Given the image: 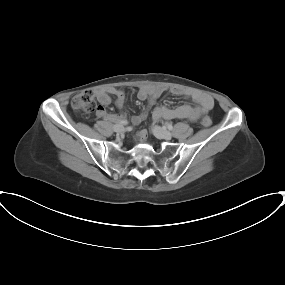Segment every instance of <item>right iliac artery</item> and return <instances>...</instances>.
Returning <instances> with one entry per match:
<instances>
[{"instance_id":"1","label":"right iliac artery","mask_w":285,"mask_h":285,"mask_svg":"<svg viewBox=\"0 0 285 285\" xmlns=\"http://www.w3.org/2000/svg\"><path fill=\"white\" fill-rule=\"evenodd\" d=\"M116 123H120V124L126 125L128 122L126 120H122V121H118Z\"/></svg>"}]
</instances>
